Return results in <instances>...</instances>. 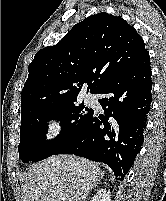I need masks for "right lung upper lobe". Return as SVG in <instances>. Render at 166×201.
Masks as SVG:
<instances>
[{"instance_id":"obj_1","label":"right lung upper lobe","mask_w":166,"mask_h":201,"mask_svg":"<svg viewBox=\"0 0 166 201\" xmlns=\"http://www.w3.org/2000/svg\"><path fill=\"white\" fill-rule=\"evenodd\" d=\"M146 53L143 39L123 18L89 16L35 54L21 92V115L73 102L84 84L96 94Z\"/></svg>"}]
</instances>
